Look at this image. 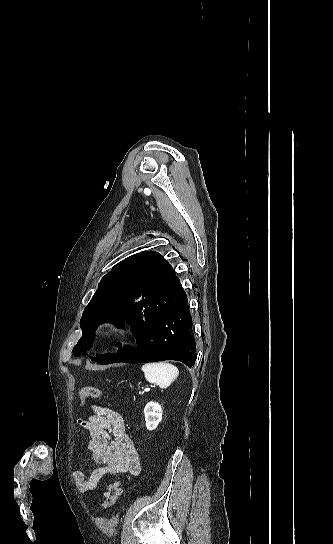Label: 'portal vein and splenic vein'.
Segmentation results:
<instances>
[{
	"mask_svg": "<svg viewBox=\"0 0 333 544\" xmlns=\"http://www.w3.org/2000/svg\"><path fill=\"white\" fill-rule=\"evenodd\" d=\"M152 387H153V386H152ZM149 390H150V388L145 389V391H149Z\"/></svg>",
	"mask_w": 333,
	"mask_h": 544,
	"instance_id": "18ae733b",
	"label": "portal vein and splenic vein"
}]
</instances>
